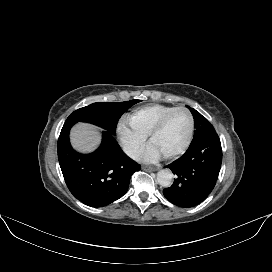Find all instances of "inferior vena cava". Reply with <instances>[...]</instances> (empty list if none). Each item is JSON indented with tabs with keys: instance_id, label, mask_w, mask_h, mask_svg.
Wrapping results in <instances>:
<instances>
[{
	"instance_id": "obj_1",
	"label": "inferior vena cava",
	"mask_w": 272,
	"mask_h": 272,
	"mask_svg": "<svg viewBox=\"0 0 272 272\" xmlns=\"http://www.w3.org/2000/svg\"><path fill=\"white\" fill-rule=\"evenodd\" d=\"M124 153L132 159H138L141 155V151L134 145L125 144L123 146Z\"/></svg>"
}]
</instances>
